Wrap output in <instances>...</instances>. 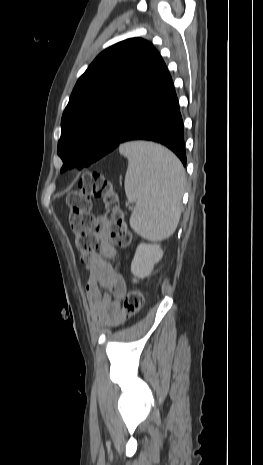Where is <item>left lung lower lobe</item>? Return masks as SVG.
Listing matches in <instances>:
<instances>
[{
    "mask_svg": "<svg viewBox=\"0 0 263 465\" xmlns=\"http://www.w3.org/2000/svg\"><path fill=\"white\" fill-rule=\"evenodd\" d=\"M149 140L171 149L186 165L183 121L172 78L160 57L149 69L135 98L123 105L113 128L99 152L90 160L73 155L63 161L61 172L78 163L89 166L116 149L121 143Z\"/></svg>",
    "mask_w": 263,
    "mask_h": 465,
    "instance_id": "1",
    "label": "left lung lower lobe"
}]
</instances>
